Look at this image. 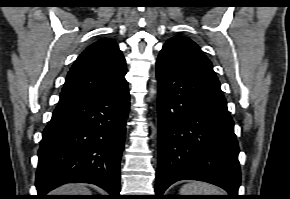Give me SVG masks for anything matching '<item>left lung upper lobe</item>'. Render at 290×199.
<instances>
[{"mask_svg": "<svg viewBox=\"0 0 290 199\" xmlns=\"http://www.w3.org/2000/svg\"><path fill=\"white\" fill-rule=\"evenodd\" d=\"M161 51L170 54L183 65L218 80L212 63L191 39L183 36L172 37Z\"/></svg>", "mask_w": 290, "mask_h": 199, "instance_id": "obj_1", "label": "left lung upper lobe"}]
</instances>
